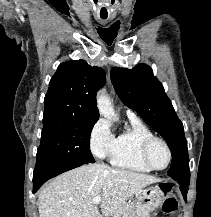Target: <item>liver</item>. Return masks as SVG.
<instances>
[{
  "instance_id": "1",
  "label": "liver",
  "mask_w": 211,
  "mask_h": 217,
  "mask_svg": "<svg viewBox=\"0 0 211 217\" xmlns=\"http://www.w3.org/2000/svg\"><path fill=\"white\" fill-rule=\"evenodd\" d=\"M158 178L88 164L61 174L39 193V217H110L125 201ZM100 196V209L93 198Z\"/></svg>"
}]
</instances>
